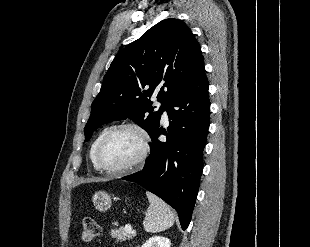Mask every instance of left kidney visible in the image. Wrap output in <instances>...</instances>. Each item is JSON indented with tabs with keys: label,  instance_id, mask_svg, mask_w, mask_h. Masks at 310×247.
Instances as JSON below:
<instances>
[{
	"label": "left kidney",
	"instance_id": "5707ae66",
	"mask_svg": "<svg viewBox=\"0 0 310 247\" xmlns=\"http://www.w3.org/2000/svg\"><path fill=\"white\" fill-rule=\"evenodd\" d=\"M171 242L168 238L154 236L147 240L141 247H170Z\"/></svg>",
	"mask_w": 310,
	"mask_h": 247
}]
</instances>
